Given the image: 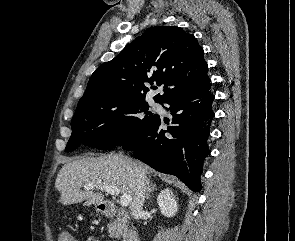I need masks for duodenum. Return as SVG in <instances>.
<instances>
[{
  "mask_svg": "<svg viewBox=\"0 0 295 241\" xmlns=\"http://www.w3.org/2000/svg\"><path fill=\"white\" fill-rule=\"evenodd\" d=\"M100 209L106 216L109 217H114L122 214L117 206L113 203H101ZM123 241H140V238L136 231H131L125 234Z\"/></svg>",
  "mask_w": 295,
  "mask_h": 241,
  "instance_id": "410a0bca",
  "label": "duodenum"
}]
</instances>
